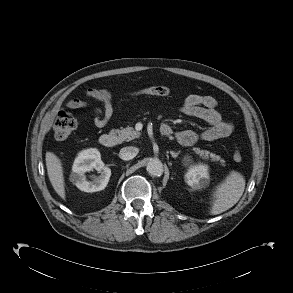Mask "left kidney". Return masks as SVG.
Instances as JSON below:
<instances>
[{
  "label": "left kidney",
  "instance_id": "left-kidney-1",
  "mask_svg": "<svg viewBox=\"0 0 293 293\" xmlns=\"http://www.w3.org/2000/svg\"><path fill=\"white\" fill-rule=\"evenodd\" d=\"M185 182L192 190H200L209 184V173L207 165L198 164L188 168L185 174Z\"/></svg>",
  "mask_w": 293,
  "mask_h": 293
}]
</instances>
